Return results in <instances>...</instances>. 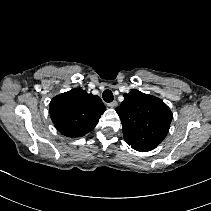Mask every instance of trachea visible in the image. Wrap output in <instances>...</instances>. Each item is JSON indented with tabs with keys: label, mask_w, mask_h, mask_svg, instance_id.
Listing matches in <instances>:
<instances>
[{
	"label": "trachea",
	"mask_w": 211,
	"mask_h": 211,
	"mask_svg": "<svg viewBox=\"0 0 211 211\" xmlns=\"http://www.w3.org/2000/svg\"><path fill=\"white\" fill-rule=\"evenodd\" d=\"M102 97H103V100L107 103L112 102L114 99L112 91L108 89L103 92Z\"/></svg>",
	"instance_id": "trachea-1"
}]
</instances>
